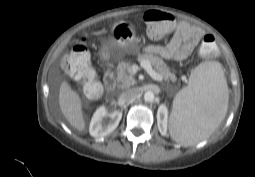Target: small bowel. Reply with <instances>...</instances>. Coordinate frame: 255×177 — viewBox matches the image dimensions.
<instances>
[{"mask_svg": "<svg viewBox=\"0 0 255 177\" xmlns=\"http://www.w3.org/2000/svg\"><path fill=\"white\" fill-rule=\"evenodd\" d=\"M204 31L196 26L181 22L177 25L170 41L165 45H149L145 52L164 59L182 61L188 58L199 43L202 42Z\"/></svg>", "mask_w": 255, "mask_h": 177, "instance_id": "c3829d8e", "label": "small bowel"}]
</instances>
